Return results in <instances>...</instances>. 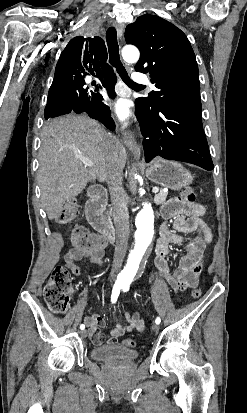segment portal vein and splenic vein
Segmentation results:
<instances>
[{
  "mask_svg": "<svg viewBox=\"0 0 247 413\" xmlns=\"http://www.w3.org/2000/svg\"><path fill=\"white\" fill-rule=\"evenodd\" d=\"M82 162H84L85 166H93L94 162L92 160H87V158H83ZM159 188L157 186H153V192H158Z\"/></svg>",
  "mask_w": 247,
  "mask_h": 413,
  "instance_id": "obj_1",
  "label": "portal vein and splenic vein"
}]
</instances>
